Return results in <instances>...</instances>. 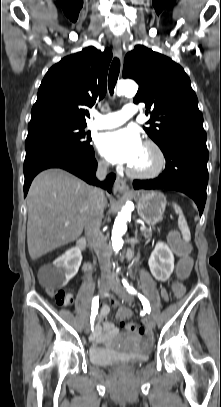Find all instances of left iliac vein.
I'll return each instance as SVG.
<instances>
[{
	"mask_svg": "<svg viewBox=\"0 0 221 407\" xmlns=\"http://www.w3.org/2000/svg\"><path fill=\"white\" fill-rule=\"evenodd\" d=\"M111 289L125 302L127 303H132L133 298L131 295L128 294V292L119 284L116 282H113L111 284ZM147 325L150 329H153L155 327V321L151 315H147L146 317Z\"/></svg>",
	"mask_w": 221,
	"mask_h": 407,
	"instance_id": "1",
	"label": "left iliac vein"
}]
</instances>
